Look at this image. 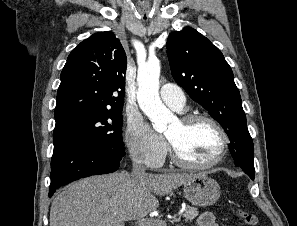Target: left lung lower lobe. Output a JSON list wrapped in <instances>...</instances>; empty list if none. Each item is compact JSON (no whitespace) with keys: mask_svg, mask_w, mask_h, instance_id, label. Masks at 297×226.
Wrapping results in <instances>:
<instances>
[{"mask_svg":"<svg viewBox=\"0 0 297 226\" xmlns=\"http://www.w3.org/2000/svg\"><path fill=\"white\" fill-rule=\"evenodd\" d=\"M240 168H242V170L248 174V176L254 180L255 178V169L254 166H250V167H244V166H239Z\"/></svg>","mask_w":297,"mask_h":226,"instance_id":"left-lung-lower-lobe-1","label":"left lung lower lobe"}]
</instances>
